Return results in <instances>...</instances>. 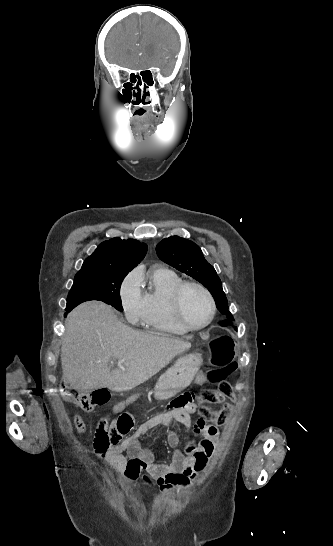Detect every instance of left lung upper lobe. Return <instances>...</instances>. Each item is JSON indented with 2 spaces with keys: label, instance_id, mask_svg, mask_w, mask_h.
<instances>
[{
  "label": "left lung upper lobe",
  "instance_id": "obj_1",
  "mask_svg": "<svg viewBox=\"0 0 333 546\" xmlns=\"http://www.w3.org/2000/svg\"><path fill=\"white\" fill-rule=\"evenodd\" d=\"M156 252L162 261L203 284L212 294L221 314L226 315L228 320H233L221 280L198 245L185 238L172 236L159 242Z\"/></svg>",
  "mask_w": 333,
  "mask_h": 546
}]
</instances>
